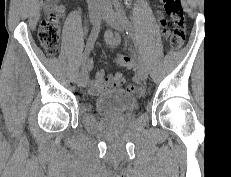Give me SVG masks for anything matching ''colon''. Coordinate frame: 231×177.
<instances>
[{"label":"colon","instance_id":"5ec220e1","mask_svg":"<svg viewBox=\"0 0 231 177\" xmlns=\"http://www.w3.org/2000/svg\"><path fill=\"white\" fill-rule=\"evenodd\" d=\"M48 4H54L56 0H46ZM164 9L170 19L167 24L165 18L161 17L159 23L166 27L165 32L169 37V43L172 49H179L185 41L186 32L182 13L181 0H162ZM39 40L45 52L49 56H54L60 43V26L56 13L51 12L41 21L39 29ZM120 63L130 62V58L118 55L115 58Z\"/></svg>","mask_w":231,"mask_h":177}]
</instances>
